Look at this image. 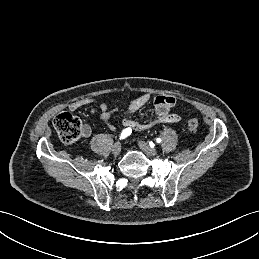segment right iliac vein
<instances>
[{"label":"right iliac vein","instance_id":"63e3f726","mask_svg":"<svg viewBox=\"0 0 259 259\" xmlns=\"http://www.w3.org/2000/svg\"><path fill=\"white\" fill-rule=\"evenodd\" d=\"M120 152H121V143L117 142L112 147V154L114 156H118L120 154Z\"/></svg>","mask_w":259,"mask_h":259}]
</instances>
